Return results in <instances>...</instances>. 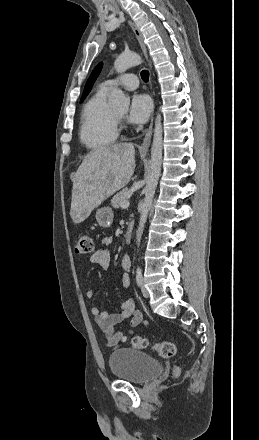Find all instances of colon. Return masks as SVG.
Instances as JSON below:
<instances>
[{"label":"colon","mask_w":259,"mask_h":440,"mask_svg":"<svg viewBox=\"0 0 259 440\" xmlns=\"http://www.w3.org/2000/svg\"><path fill=\"white\" fill-rule=\"evenodd\" d=\"M76 252L79 254L91 253L94 249V242L92 237L87 232H79L76 236L75 242ZM131 345L135 348H146L148 341L140 336H135L130 341ZM154 351L163 358H170L176 353V346L169 341H159L153 346ZM179 369H175V373H178Z\"/></svg>","instance_id":"1"}]
</instances>
